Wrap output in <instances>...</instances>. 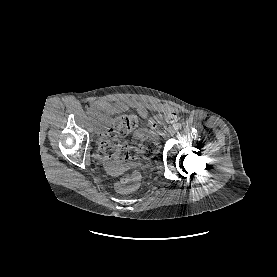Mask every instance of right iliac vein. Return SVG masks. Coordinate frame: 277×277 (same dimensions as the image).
Wrapping results in <instances>:
<instances>
[{
    "instance_id": "63e3f726",
    "label": "right iliac vein",
    "mask_w": 277,
    "mask_h": 277,
    "mask_svg": "<svg viewBox=\"0 0 277 277\" xmlns=\"http://www.w3.org/2000/svg\"><path fill=\"white\" fill-rule=\"evenodd\" d=\"M93 130H94V133H96V134H97V133H98V131H99L98 126H97V125H95Z\"/></svg>"
}]
</instances>
